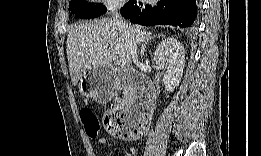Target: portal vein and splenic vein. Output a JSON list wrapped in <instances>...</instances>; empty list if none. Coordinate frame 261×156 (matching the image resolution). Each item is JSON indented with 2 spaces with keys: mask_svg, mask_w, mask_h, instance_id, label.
I'll list each match as a JSON object with an SVG mask.
<instances>
[{
  "mask_svg": "<svg viewBox=\"0 0 261 156\" xmlns=\"http://www.w3.org/2000/svg\"><path fill=\"white\" fill-rule=\"evenodd\" d=\"M117 64L121 67L126 65V61L124 59H117Z\"/></svg>",
  "mask_w": 261,
  "mask_h": 156,
  "instance_id": "1",
  "label": "portal vein and splenic vein"
}]
</instances>
